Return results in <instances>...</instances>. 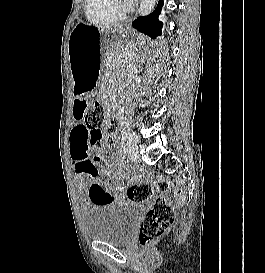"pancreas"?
Wrapping results in <instances>:
<instances>
[{"label":"pancreas","instance_id":"cf45deb5","mask_svg":"<svg viewBox=\"0 0 265 273\" xmlns=\"http://www.w3.org/2000/svg\"><path fill=\"white\" fill-rule=\"evenodd\" d=\"M132 53V49H114L108 55V60L106 61L107 67L110 69L119 68L123 63H130L132 61L131 56L128 54Z\"/></svg>","mask_w":265,"mask_h":273}]
</instances>
